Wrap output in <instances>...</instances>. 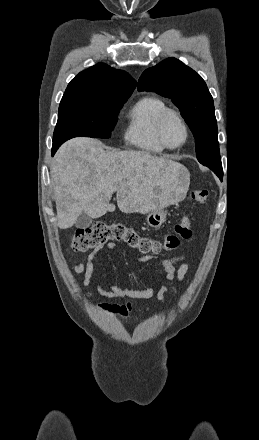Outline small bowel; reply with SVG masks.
Instances as JSON below:
<instances>
[{
	"label": "small bowel",
	"instance_id": "c3829d8e",
	"mask_svg": "<svg viewBox=\"0 0 259 440\" xmlns=\"http://www.w3.org/2000/svg\"><path fill=\"white\" fill-rule=\"evenodd\" d=\"M108 250L115 248L114 242H109L106 244ZM103 246L95 248L88 256L85 262L78 263L73 266V271L78 274H83V286L88 288L91 284V279L95 273L97 257L99 256ZM151 260H157L160 269L165 273L166 281L172 282L177 280L179 282L183 281L189 270V265L184 262L185 256L183 255H171L166 257H156L151 255H144L139 257V261L148 262ZM179 264L178 269L176 266ZM98 293L105 298H132V299H148L156 296L158 300H163L167 292L166 286H161L156 290V284L154 283L145 289H132L124 285H114L110 284L108 289L102 288L99 284L96 286ZM87 295L91 296V292L87 290ZM99 308L109 313L111 315L119 317H127L129 314L134 312H140V309H136L131 303H126L124 305H117L111 303H100ZM145 310L149 311L150 308L147 307Z\"/></svg>",
	"mask_w": 259,
	"mask_h": 440
}]
</instances>
